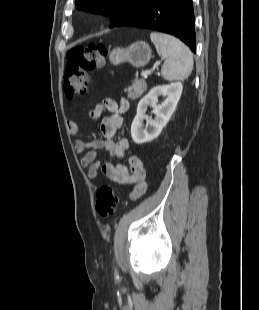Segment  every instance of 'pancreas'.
Here are the masks:
<instances>
[{
	"label": "pancreas",
	"instance_id": "1",
	"mask_svg": "<svg viewBox=\"0 0 259 310\" xmlns=\"http://www.w3.org/2000/svg\"><path fill=\"white\" fill-rule=\"evenodd\" d=\"M147 89V84L144 80L135 79L132 85L124 91L128 92V98L131 100L138 99Z\"/></svg>",
	"mask_w": 259,
	"mask_h": 310
}]
</instances>
